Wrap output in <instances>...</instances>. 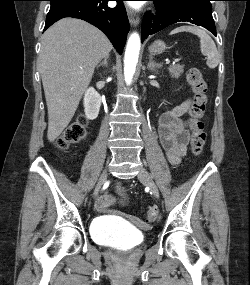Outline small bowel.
<instances>
[{
    "instance_id": "c3829d8e",
    "label": "small bowel",
    "mask_w": 250,
    "mask_h": 285,
    "mask_svg": "<svg viewBox=\"0 0 250 285\" xmlns=\"http://www.w3.org/2000/svg\"><path fill=\"white\" fill-rule=\"evenodd\" d=\"M191 99H186L181 104L172 109H167L159 118L158 134L161 145L165 151L168 161L172 165L180 163L182 156L187 151L190 139L188 130L189 120H184L183 116L191 106ZM118 191L123 195L124 190L119 187ZM115 202L114 197L107 196L101 203L100 208L105 209Z\"/></svg>"
}]
</instances>
